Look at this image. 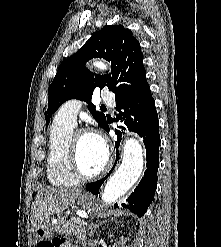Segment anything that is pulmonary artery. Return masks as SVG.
<instances>
[{
	"label": "pulmonary artery",
	"instance_id": "e3ab8cb5",
	"mask_svg": "<svg viewBox=\"0 0 221 247\" xmlns=\"http://www.w3.org/2000/svg\"><path fill=\"white\" fill-rule=\"evenodd\" d=\"M101 98L107 103H114V96L107 90L102 91ZM81 109L80 101L72 99L62 105L56 114V118L61 122L75 127L77 123V115Z\"/></svg>",
	"mask_w": 221,
	"mask_h": 247
}]
</instances>
